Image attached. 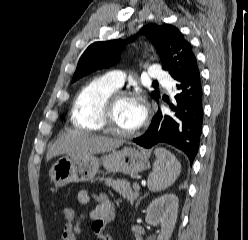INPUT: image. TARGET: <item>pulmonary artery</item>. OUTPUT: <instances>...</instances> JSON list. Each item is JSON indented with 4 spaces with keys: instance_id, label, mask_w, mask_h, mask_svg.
<instances>
[{
    "instance_id": "e3ab8cb5",
    "label": "pulmonary artery",
    "mask_w": 248,
    "mask_h": 240,
    "mask_svg": "<svg viewBox=\"0 0 248 240\" xmlns=\"http://www.w3.org/2000/svg\"><path fill=\"white\" fill-rule=\"evenodd\" d=\"M103 78L116 88H120L124 83V74L117 70L106 72ZM149 78L160 83L169 81V76L156 65L149 68Z\"/></svg>"
}]
</instances>
